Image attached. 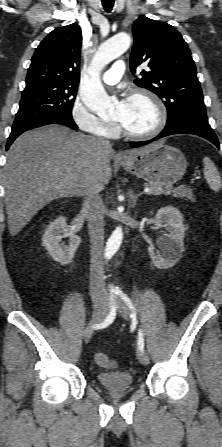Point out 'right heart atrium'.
Returning <instances> with one entry per match:
<instances>
[{
    "label": "right heart atrium",
    "instance_id": "obj_1",
    "mask_svg": "<svg viewBox=\"0 0 222 447\" xmlns=\"http://www.w3.org/2000/svg\"><path fill=\"white\" fill-rule=\"evenodd\" d=\"M71 118L81 130L98 136H110L115 131V124L97 117L86 106V102L83 99L74 104Z\"/></svg>",
    "mask_w": 222,
    "mask_h": 447
}]
</instances>
